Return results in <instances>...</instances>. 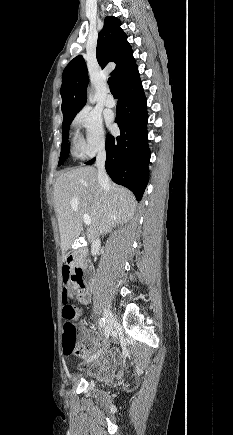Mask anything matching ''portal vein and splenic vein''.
Returning a JSON list of instances; mask_svg holds the SVG:
<instances>
[{
	"mask_svg": "<svg viewBox=\"0 0 233 435\" xmlns=\"http://www.w3.org/2000/svg\"><path fill=\"white\" fill-rule=\"evenodd\" d=\"M83 221L87 226L91 225V218L88 214H83Z\"/></svg>",
	"mask_w": 233,
	"mask_h": 435,
	"instance_id": "portal-vein-and-splenic-vein-1",
	"label": "portal vein and splenic vein"
}]
</instances>
